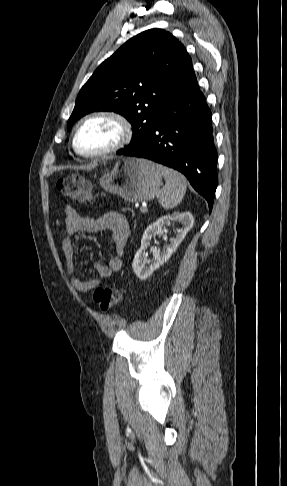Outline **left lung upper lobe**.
Masks as SVG:
<instances>
[{
	"label": "left lung upper lobe",
	"mask_w": 287,
	"mask_h": 486,
	"mask_svg": "<svg viewBox=\"0 0 287 486\" xmlns=\"http://www.w3.org/2000/svg\"><path fill=\"white\" fill-rule=\"evenodd\" d=\"M193 76L191 57L172 34L146 30L95 70L77 96L68 131L90 112L114 111L132 124L134 133L127 149L133 148L145 138L172 95Z\"/></svg>",
	"instance_id": "obj_1"
}]
</instances>
